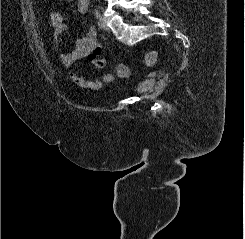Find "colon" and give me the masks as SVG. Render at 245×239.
<instances>
[{"label": "colon", "instance_id": "obj_1", "mask_svg": "<svg viewBox=\"0 0 245 239\" xmlns=\"http://www.w3.org/2000/svg\"><path fill=\"white\" fill-rule=\"evenodd\" d=\"M145 63L147 65H154L157 61V53L155 51L148 52L144 57ZM117 74L120 77H126L129 75L130 69L125 64H120L117 66Z\"/></svg>", "mask_w": 245, "mask_h": 239}]
</instances>
